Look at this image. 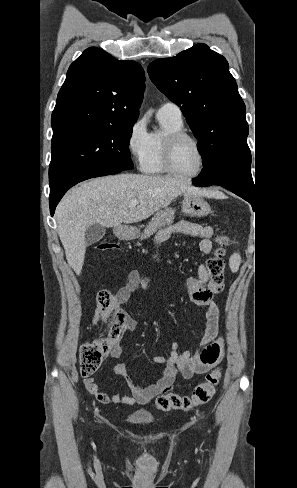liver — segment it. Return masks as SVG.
<instances>
[{
	"instance_id": "6515ba94",
	"label": "liver",
	"mask_w": 297,
	"mask_h": 488,
	"mask_svg": "<svg viewBox=\"0 0 297 488\" xmlns=\"http://www.w3.org/2000/svg\"><path fill=\"white\" fill-rule=\"evenodd\" d=\"M208 192L169 176L118 174L89 180L69 190L56 208L58 234L69 266L81 274L85 231L94 224L118 228L142 221L168 206L180 194ZM132 199L139 204L129 207Z\"/></svg>"
}]
</instances>
